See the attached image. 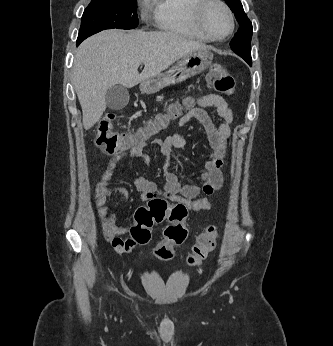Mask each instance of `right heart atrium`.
<instances>
[{"mask_svg":"<svg viewBox=\"0 0 333 346\" xmlns=\"http://www.w3.org/2000/svg\"><path fill=\"white\" fill-rule=\"evenodd\" d=\"M144 2H148L149 0H143Z\"/></svg>","mask_w":333,"mask_h":346,"instance_id":"d8ad5b80","label":"right heart atrium"}]
</instances>
